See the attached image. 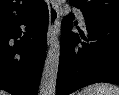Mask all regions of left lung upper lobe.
Instances as JSON below:
<instances>
[{"label":"left lung upper lobe","instance_id":"1","mask_svg":"<svg viewBox=\"0 0 119 95\" xmlns=\"http://www.w3.org/2000/svg\"><path fill=\"white\" fill-rule=\"evenodd\" d=\"M70 5L79 8L92 17L119 22V0H69Z\"/></svg>","mask_w":119,"mask_h":95}]
</instances>
